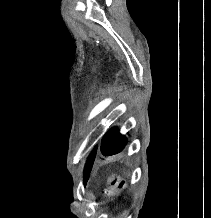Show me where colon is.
Returning a JSON list of instances; mask_svg holds the SVG:
<instances>
[{"label":"colon","instance_id":"obj_1","mask_svg":"<svg viewBox=\"0 0 211 218\" xmlns=\"http://www.w3.org/2000/svg\"><path fill=\"white\" fill-rule=\"evenodd\" d=\"M108 183H109V188H108L109 195H117L124 186L123 181L117 174H111L108 177Z\"/></svg>","mask_w":211,"mask_h":218}]
</instances>
